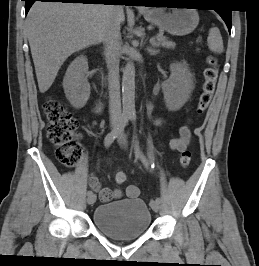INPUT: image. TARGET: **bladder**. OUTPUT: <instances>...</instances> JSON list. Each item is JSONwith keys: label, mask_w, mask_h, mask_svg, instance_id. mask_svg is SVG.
Returning a JSON list of instances; mask_svg holds the SVG:
<instances>
[{"label": "bladder", "mask_w": 259, "mask_h": 266, "mask_svg": "<svg viewBox=\"0 0 259 266\" xmlns=\"http://www.w3.org/2000/svg\"><path fill=\"white\" fill-rule=\"evenodd\" d=\"M92 221L106 236L117 240H133L145 234L151 225V213L140 198L99 205Z\"/></svg>", "instance_id": "obj_1"}]
</instances>
